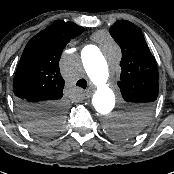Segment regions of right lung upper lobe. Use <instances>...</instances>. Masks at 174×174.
Listing matches in <instances>:
<instances>
[{
    "label": "right lung upper lobe",
    "instance_id": "right-lung-upper-lobe-1",
    "mask_svg": "<svg viewBox=\"0 0 174 174\" xmlns=\"http://www.w3.org/2000/svg\"><path fill=\"white\" fill-rule=\"evenodd\" d=\"M83 31L75 23L58 20L27 43L13 81L16 100L56 103L62 98L65 82L59 70L61 53L70 39ZM41 113L27 116L25 122L37 123Z\"/></svg>",
    "mask_w": 174,
    "mask_h": 174
}]
</instances>
